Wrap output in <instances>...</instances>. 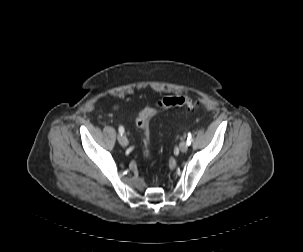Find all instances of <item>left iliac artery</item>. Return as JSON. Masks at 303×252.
<instances>
[{
  "label": "left iliac artery",
  "instance_id": "44dca946",
  "mask_svg": "<svg viewBox=\"0 0 303 252\" xmlns=\"http://www.w3.org/2000/svg\"><path fill=\"white\" fill-rule=\"evenodd\" d=\"M192 142V138H191V134H188V138H187V144L190 145Z\"/></svg>",
  "mask_w": 303,
  "mask_h": 252
}]
</instances>
